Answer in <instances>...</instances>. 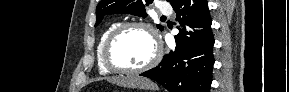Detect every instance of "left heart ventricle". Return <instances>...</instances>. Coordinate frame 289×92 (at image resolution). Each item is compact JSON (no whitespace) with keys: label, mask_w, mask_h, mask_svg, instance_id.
Listing matches in <instances>:
<instances>
[{"label":"left heart ventricle","mask_w":289,"mask_h":92,"mask_svg":"<svg viewBox=\"0 0 289 92\" xmlns=\"http://www.w3.org/2000/svg\"><path fill=\"white\" fill-rule=\"evenodd\" d=\"M154 50L152 37L145 29L131 28L116 40L112 58L118 65L137 68L152 58Z\"/></svg>","instance_id":"b2bd125f"}]
</instances>
